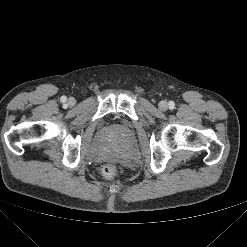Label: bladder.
I'll use <instances>...</instances> for the list:
<instances>
[{
    "label": "bladder",
    "instance_id": "bladder-1",
    "mask_svg": "<svg viewBox=\"0 0 247 247\" xmlns=\"http://www.w3.org/2000/svg\"><path fill=\"white\" fill-rule=\"evenodd\" d=\"M121 126L124 129H128L129 128V124L128 123H122Z\"/></svg>",
    "mask_w": 247,
    "mask_h": 247
}]
</instances>
